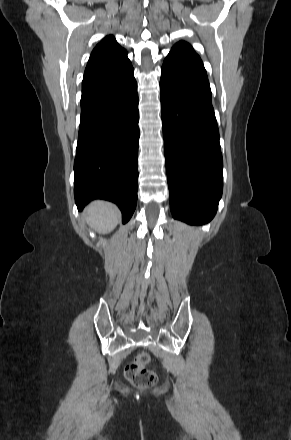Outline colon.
Masks as SVG:
<instances>
[{
	"label": "colon",
	"mask_w": 291,
	"mask_h": 440,
	"mask_svg": "<svg viewBox=\"0 0 291 440\" xmlns=\"http://www.w3.org/2000/svg\"><path fill=\"white\" fill-rule=\"evenodd\" d=\"M149 363L150 355L146 352H141L126 366V377L138 389L148 388L158 382L157 374L147 369Z\"/></svg>",
	"instance_id": "obj_1"
}]
</instances>
